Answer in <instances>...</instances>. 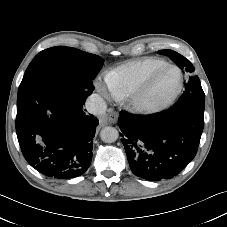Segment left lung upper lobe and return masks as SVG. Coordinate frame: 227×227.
I'll return each mask as SVG.
<instances>
[{
  "mask_svg": "<svg viewBox=\"0 0 227 227\" xmlns=\"http://www.w3.org/2000/svg\"><path fill=\"white\" fill-rule=\"evenodd\" d=\"M160 54H164L170 57L171 60L175 62V64L180 68L184 69L186 72L189 73V80L185 84V91L179 98V100H198V101H204L205 102V94L203 92V89L201 87L200 80L198 76H194V67L192 63L186 59L184 56L178 54L177 52L169 49L160 50L158 51Z\"/></svg>",
  "mask_w": 227,
  "mask_h": 227,
  "instance_id": "5c2ea615",
  "label": "left lung upper lobe"
}]
</instances>
